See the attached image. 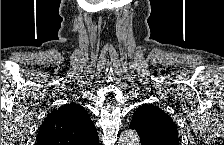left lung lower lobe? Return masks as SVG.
I'll list each match as a JSON object with an SVG mask.
<instances>
[{
    "label": "left lung lower lobe",
    "mask_w": 224,
    "mask_h": 145,
    "mask_svg": "<svg viewBox=\"0 0 224 145\" xmlns=\"http://www.w3.org/2000/svg\"><path fill=\"white\" fill-rule=\"evenodd\" d=\"M130 128L134 129L133 125L129 126ZM141 145H152L149 141L145 140L144 138L140 137Z\"/></svg>",
    "instance_id": "left-lung-lower-lobe-1"
}]
</instances>
